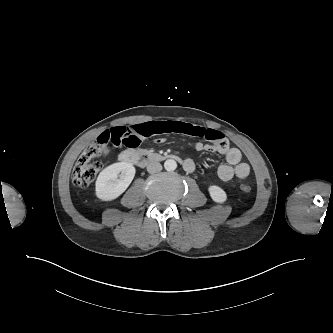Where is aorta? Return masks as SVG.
<instances>
[{"mask_svg": "<svg viewBox=\"0 0 333 333\" xmlns=\"http://www.w3.org/2000/svg\"><path fill=\"white\" fill-rule=\"evenodd\" d=\"M164 168L166 171H174L177 168V163L174 159H168L164 162Z\"/></svg>", "mask_w": 333, "mask_h": 333, "instance_id": "obj_1", "label": "aorta"}]
</instances>
